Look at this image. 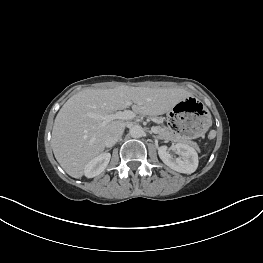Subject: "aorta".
<instances>
[{"label": "aorta", "mask_w": 263, "mask_h": 263, "mask_svg": "<svg viewBox=\"0 0 263 263\" xmlns=\"http://www.w3.org/2000/svg\"><path fill=\"white\" fill-rule=\"evenodd\" d=\"M129 133H130L131 137H133V138H140L143 136L144 130L140 125H133L129 129Z\"/></svg>", "instance_id": "aorta-1"}]
</instances>
